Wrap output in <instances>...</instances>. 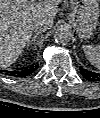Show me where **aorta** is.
Instances as JSON below:
<instances>
[{"mask_svg":"<svg viewBox=\"0 0 100 118\" xmlns=\"http://www.w3.org/2000/svg\"><path fill=\"white\" fill-rule=\"evenodd\" d=\"M54 39L56 43L66 45L71 40V32L65 27H60L55 31Z\"/></svg>","mask_w":100,"mask_h":118,"instance_id":"762f6f07","label":"aorta"}]
</instances>
